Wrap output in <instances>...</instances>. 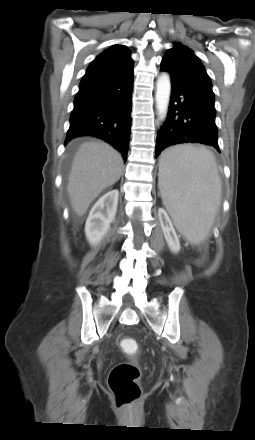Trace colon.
I'll use <instances>...</instances> for the list:
<instances>
[{
    "instance_id": "colon-1",
    "label": "colon",
    "mask_w": 255,
    "mask_h": 440,
    "mask_svg": "<svg viewBox=\"0 0 255 440\" xmlns=\"http://www.w3.org/2000/svg\"><path fill=\"white\" fill-rule=\"evenodd\" d=\"M119 345L126 353H135L138 350V344L132 338H122ZM139 380L140 369L134 363L117 364L111 369L108 384L118 407L131 405L139 399L141 395Z\"/></svg>"
}]
</instances>
